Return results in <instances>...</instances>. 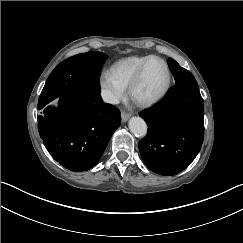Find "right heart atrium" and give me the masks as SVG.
Segmentation results:
<instances>
[{
  "mask_svg": "<svg viewBox=\"0 0 243 243\" xmlns=\"http://www.w3.org/2000/svg\"><path fill=\"white\" fill-rule=\"evenodd\" d=\"M97 81L100 97L105 103L116 105L128 95L127 88L119 81L112 66L102 67Z\"/></svg>",
  "mask_w": 243,
  "mask_h": 243,
  "instance_id": "right-heart-atrium-1",
  "label": "right heart atrium"
}]
</instances>
